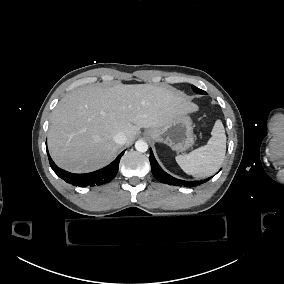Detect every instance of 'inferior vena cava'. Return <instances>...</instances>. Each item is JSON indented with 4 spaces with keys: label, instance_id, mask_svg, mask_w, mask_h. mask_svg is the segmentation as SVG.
Here are the masks:
<instances>
[{
    "label": "inferior vena cava",
    "instance_id": "obj_1",
    "mask_svg": "<svg viewBox=\"0 0 284 284\" xmlns=\"http://www.w3.org/2000/svg\"><path fill=\"white\" fill-rule=\"evenodd\" d=\"M113 140L120 145H124L126 143V135L122 132L117 133L114 137Z\"/></svg>",
    "mask_w": 284,
    "mask_h": 284
}]
</instances>
